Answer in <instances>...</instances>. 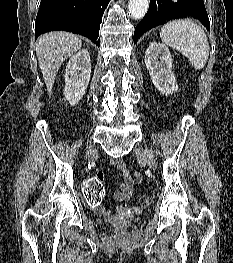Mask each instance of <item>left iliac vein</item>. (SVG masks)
<instances>
[{
	"label": "left iliac vein",
	"instance_id": "obj_1",
	"mask_svg": "<svg viewBox=\"0 0 233 263\" xmlns=\"http://www.w3.org/2000/svg\"><path fill=\"white\" fill-rule=\"evenodd\" d=\"M134 154L137 157V159L146 161L150 166V168H152L153 170L156 169L157 167L156 161L154 160L152 154L149 151L141 147H137L134 149Z\"/></svg>",
	"mask_w": 233,
	"mask_h": 263
}]
</instances>
